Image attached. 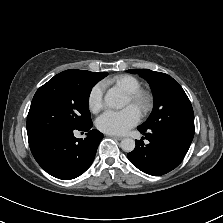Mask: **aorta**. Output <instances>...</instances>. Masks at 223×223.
I'll return each instance as SVG.
<instances>
[{
    "label": "aorta",
    "mask_w": 223,
    "mask_h": 223,
    "mask_svg": "<svg viewBox=\"0 0 223 223\" xmlns=\"http://www.w3.org/2000/svg\"><path fill=\"white\" fill-rule=\"evenodd\" d=\"M104 102L109 107L123 108L126 99L119 94L117 89L111 88L106 92ZM120 147L124 152L130 153L135 149V141L131 138H125L121 141Z\"/></svg>",
    "instance_id": "obj_1"
}]
</instances>
